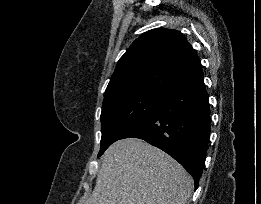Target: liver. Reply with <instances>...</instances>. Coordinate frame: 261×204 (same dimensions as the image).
Segmentation results:
<instances>
[{"mask_svg": "<svg viewBox=\"0 0 261 204\" xmlns=\"http://www.w3.org/2000/svg\"><path fill=\"white\" fill-rule=\"evenodd\" d=\"M192 187L193 179L172 157L127 138L106 150L95 188L79 204H186Z\"/></svg>", "mask_w": 261, "mask_h": 204, "instance_id": "obj_1", "label": "liver"}]
</instances>
